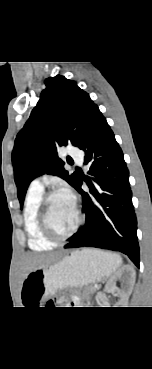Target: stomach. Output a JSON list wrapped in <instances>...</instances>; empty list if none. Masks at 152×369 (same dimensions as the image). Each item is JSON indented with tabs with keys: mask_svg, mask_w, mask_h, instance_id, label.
Instances as JSON below:
<instances>
[{
	"mask_svg": "<svg viewBox=\"0 0 152 369\" xmlns=\"http://www.w3.org/2000/svg\"><path fill=\"white\" fill-rule=\"evenodd\" d=\"M121 258L110 252L83 249L49 267L37 268L22 282L21 295L36 303L67 287H82L109 277L120 266Z\"/></svg>",
	"mask_w": 152,
	"mask_h": 369,
	"instance_id": "stomach-1",
	"label": "stomach"
}]
</instances>
